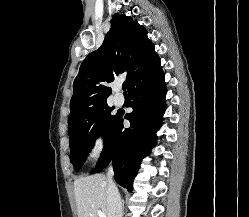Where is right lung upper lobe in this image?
Wrapping results in <instances>:
<instances>
[{
  "label": "right lung upper lobe",
  "mask_w": 249,
  "mask_h": 217,
  "mask_svg": "<svg viewBox=\"0 0 249 217\" xmlns=\"http://www.w3.org/2000/svg\"><path fill=\"white\" fill-rule=\"evenodd\" d=\"M155 55L146 29L131 17L115 14L102 46L90 53L80 66L73 83L68 119L107 103L111 88L104 83L114 81L119 74H126L129 88Z\"/></svg>",
  "instance_id": "1"
}]
</instances>
